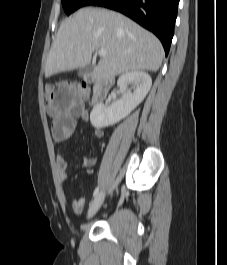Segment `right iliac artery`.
Listing matches in <instances>:
<instances>
[{
  "label": "right iliac artery",
  "mask_w": 227,
  "mask_h": 265,
  "mask_svg": "<svg viewBox=\"0 0 227 265\" xmlns=\"http://www.w3.org/2000/svg\"><path fill=\"white\" fill-rule=\"evenodd\" d=\"M99 193V187L94 190L93 197H96Z\"/></svg>",
  "instance_id": "82829eb1"
}]
</instances>
